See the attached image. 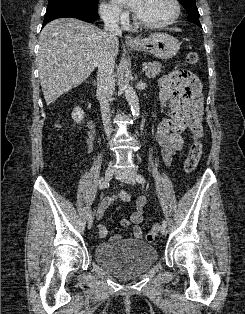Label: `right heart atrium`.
Instances as JSON below:
<instances>
[{
    "instance_id": "obj_1",
    "label": "right heart atrium",
    "mask_w": 245,
    "mask_h": 314,
    "mask_svg": "<svg viewBox=\"0 0 245 314\" xmlns=\"http://www.w3.org/2000/svg\"><path fill=\"white\" fill-rule=\"evenodd\" d=\"M100 14L104 21L111 25H123L128 19L126 12L108 2H103L101 4Z\"/></svg>"
}]
</instances>
